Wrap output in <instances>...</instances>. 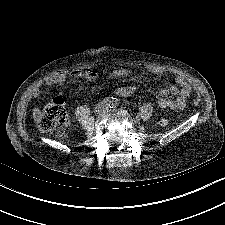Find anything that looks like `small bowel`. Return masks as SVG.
Here are the masks:
<instances>
[{
    "mask_svg": "<svg viewBox=\"0 0 225 225\" xmlns=\"http://www.w3.org/2000/svg\"><path fill=\"white\" fill-rule=\"evenodd\" d=\"M155 74H161L162 71L159 69L153 70ZM129 74V70L123 67L114 69L110 76L112 78H122ZM69 79L72 83L77 84L81 80L95 81L97 79V73L89 69H78L74 68L68 71H58L47 77L44 82L38 86L32 94L34 100H40L43 93V88L47 86H54L64 83ZM176 83L180 86V89L174 85L168 86L160 90V96L158 104L162 108L170 109H182L187 102V98L191 93V89L187 84L186 80L179 76L176 78ZM136 91V88L132 85L120 86L116 89L117 95L121 97H127L132 95ZM171 94L176 96L174 100L166 98V95ZM39 114L38 110H35V117Z\"/></svg>",
    "mask_w": 225,
    "mask_h": 225,
    "instance_id": "obj_1",
    "label": "small bowel"
}]
</instances>
